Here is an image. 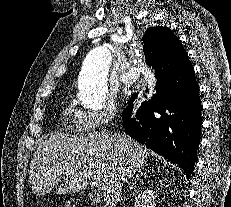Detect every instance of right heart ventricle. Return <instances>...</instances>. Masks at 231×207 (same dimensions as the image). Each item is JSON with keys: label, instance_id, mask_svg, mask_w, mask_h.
Returning <instances> with one entry per match:
<instances>
[{"label": "right heart ventricle", "instance_id": "obj_1", "mask_svg": "<svg viewBox=\"0 0 231 207\" xmlns=\"http://www.w3.org/2000/svg\"><path fill=\"white\" fill-rule=\"evenodd\" d=\"M79 112H77L72 105H67L63 110V118L65 125L70 130H80L82 127L78 118Z\"/></svg>", "mask_w": 231, "mask_h": 207}]
</instances>
